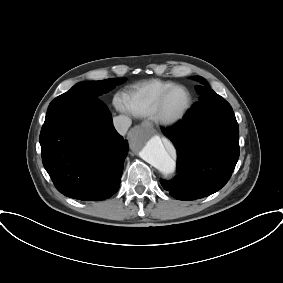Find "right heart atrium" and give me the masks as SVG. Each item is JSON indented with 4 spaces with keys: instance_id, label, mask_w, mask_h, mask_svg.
I'll use <instances>...</instances> for the list:
<instances>
[{
    "instance_id": "obj_1",
    "label": "right heart atrium",
    "mask_w": 283,
    "mask_h": 283,
    "mask_svg": "<svg viewBox=\"0 0 283 283\" xmlns=\"http://www.w3.org/2000/svg\"><path fill=\"white\" fill-rule=\"evenodd\" d=\"M115 104H116V107L119 110H123L124 109V105H123V103L119 99H116Z\"/></svg>"
}]
</instances>
